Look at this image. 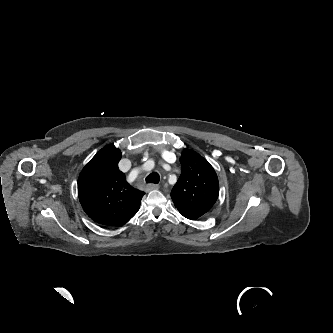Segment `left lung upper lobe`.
I'll list each match as a JSON object with an SVG mask.
<instances>
[{"label":"left lung upper lobe","mask_w":333,"mask_h":333,"mask_svg":"<svg viewBox=\"0 0 333 333\" xmlns=\"http://www.w3.org/2000/svg\"><path fill=\"white\" fill-rule=\"evenodd\" d=\"M181 175L171 191L175 207L185 217L198 218L214 205L219 183L213 167L198 153L184 149Z\"/></svg>","instance_id":"obj_1"}]
</instances>
